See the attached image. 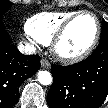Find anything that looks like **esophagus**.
Instances as JSON below:
<instances>
[{
  "label": "esophagus",
  "mask_w": 108,
  "mask_h": 108,
  "mask_svg": "<svg viewBox=\"0 0 108 108\" xmlns=\"http://www.w3.org/2000/svg\"><path fill=\"white\" fill-rule=\"evenodd\" d=\"M41 67L43 69H49L50 68V63L46 59H41Z\"/></svg>",
  "instance_id": "obj_1"
}]
</instances>
